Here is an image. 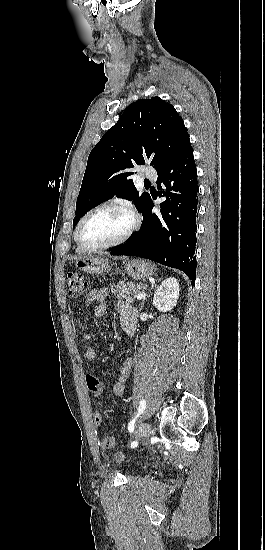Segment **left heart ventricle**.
Returning <instances> with one entry per match:
<instances>
[{"label":"left heart ventricle","mask_w":265,"mask_h":550,"mask_svg":"<svg viewBox=\"0 0 265 550\" xmlns=\"http://www.w3.org/2000/svg\"><path fill=\"white\" fill-rule=\"evenodd\" d=\"M131 217L120 210L102 209L84 222L80 238L87 245H99L120 238L131 226Z\"/></svg>","instance_id":"1"}]
</instances>
